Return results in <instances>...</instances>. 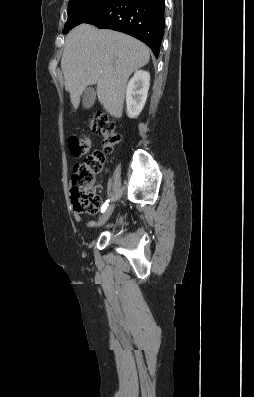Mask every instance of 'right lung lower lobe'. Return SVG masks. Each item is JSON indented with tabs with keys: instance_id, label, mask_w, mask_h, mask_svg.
<instances>
[{
	"instance_id": "right-lung-lower-lobe-1",
	"label": "right lung lower lobe",
	"mask_w": 254,
	"mask_h": 397,
	"mask_svg": "<svg viewBox=\"0 0 254 397\" xmlns=\"http://www.w3.org/2000/svg\"><path fill=\"white\" fill-rule=\"evenodd\" d=\"M165 0H111L84 23L129 34L147 44L158 57L164 34Z\"/></svg>"
}]
</instances>
